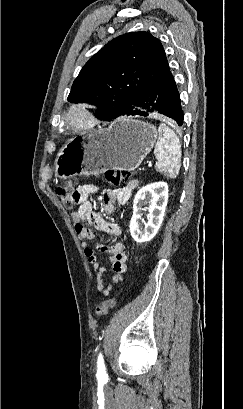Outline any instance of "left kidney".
<instances>
[{"instance_id": "1", "label": "left kidney", "mask_w": 243, "mask_h": 409, "mask_svg": "<svg viewBox=\"0 0 243 409\" xmlns=\"http://www.w3.org/2000/svg\"><path fill=\"white\" fill-rule=\"evenodd\" d=\"M168 202V185L165 182H156L142 187L133 201V215L130 221V233L138 242H148L157 234L165 214ZM147 205L148 221L142 226L143 206Z\"/></svg>"}]
</instances>
